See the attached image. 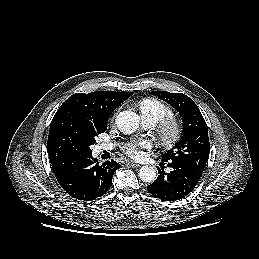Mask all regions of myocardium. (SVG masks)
I'll return each instance as SVG.
<instances>
[{
    "label": "myocardium",
    "instance_id": "f54148a6",
    "mask_svg": "<svg viewBox=\"0 0 259 259\" xmlns=\"http://www.w3.org/2000/svg\"><path fill=\"white\" fill-rule=\"evenodd\" d=\"M183 133V124L172 116L162 119L157 128L158 139L168 148L175 146L182 139Z\"/></svg>",
    "mask_w": 259,
    "mask_h": 259
}]
</instances>
